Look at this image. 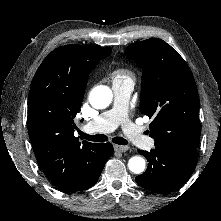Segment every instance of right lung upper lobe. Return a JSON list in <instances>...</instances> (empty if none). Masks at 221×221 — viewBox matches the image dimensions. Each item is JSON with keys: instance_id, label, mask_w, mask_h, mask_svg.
Instances as JSON below:
<instances>
[{"instance_id": "cb5924a9", "label": "right lung upper lobe", "mask_w": 221, "mask_h": 221, "mask_svg": "<svg viewBox=\"0 0 221 221\" xmlns=\"http://www.w3.org/2000/svg\"><path fill=\"white\" fill-rule=\"evenodd\" d=\"M108 48L65 45L39 66L28 97V133L36 159L59 189L74 190L84 179L99 144L79 142L74 117L81 108L90 71Z\"/></svg>"}]
</instances>
